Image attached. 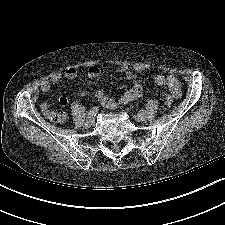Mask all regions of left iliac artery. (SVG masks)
Instances as JSON below:
<instances>
[{
    "label": "left iliac artery",
    "mask_w": 225,
    "mask_h": 225,
    "mask_svg": "<svg viewBox=\"0 0 225 225\" xmlns=\"http://www.w3.org/2000/svg\"><path fill=\"white\" fill-rule=\"evenodd\" d=\"M142 114H148V109H142Z\"/></svg>",
    "instance_id": "left-iliac-artery-1"
}]
</instances>
